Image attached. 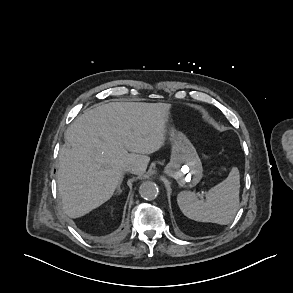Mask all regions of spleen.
Segmentation results:
<instances>
[{
    "mask_svg": "<svg viewBox=\"0 0 293 293\" xmlns=\"http://www.w3.org/2000/svg\"><path fill=\"white\" fill-rule=\"evenodd\" d=\"M239 190V170L233 167L224 181L207 192L205 201L198 200L193 192L182 191L177 196V203L190 219L227 225L238 211Z\"/></svg>",
    "mask_w": 293,
    "mask_h": 293,
    "instance_id": "spleen-1",
    "label": "spleen"
}]
</instances>
